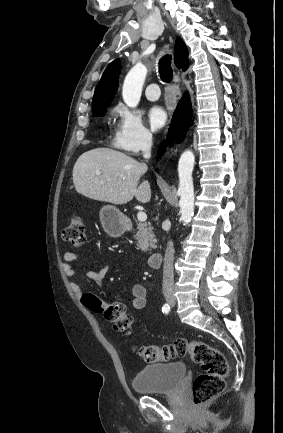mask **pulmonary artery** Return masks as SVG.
Masks as SVG:
<instances>
[{
    "mask_svg": "<svg viewBox=\"0 0 283 433\" xmlns=\"http://www.w3.org/2000/svg\"><path fill=\"white\" fill-rule=\"evenodd\" d=\"M145 96L148 100L155 101L160 97V90L156 83H149L145 90Z\"/></svg>",
    "mask_w": 283,
    "mask_h": 433,
    "instance_id": "e3ab8cb5",
    "label": "pulmonary artery"
}]
</instances>
